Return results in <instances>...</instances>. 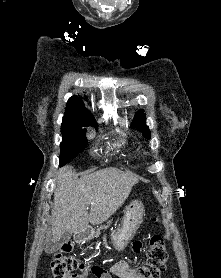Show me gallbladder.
Returning a JSON list of instances; mask_svg holds the SVG:
<instances>
[{
    "mask_svg": "<svg viewBox=\"0 0 221 278\" xmlns=\"http://www.w3.org/2000/svg\"><path fill=\"white\" fill-rule=\"evenodd\" d=\"M71 236H72V233L66 232V233L61 237L60 240H58V241H57L56 243H54V244H51L48 250L51 251V252H52V251H58L64 243L68 242V241L71 239Z\"/></svg>",
    "mask_w": 221,
    "mask_h": 278,
    "instance_id": "obj_1",
    "label": "gallbladder"
}]
</instances>
